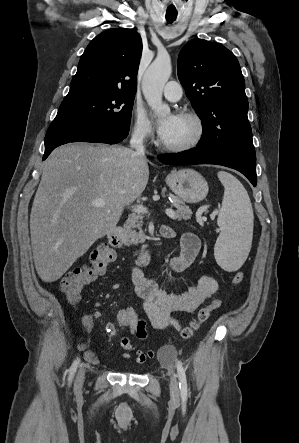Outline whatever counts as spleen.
<instances>
[{"label":"spleen","instance_id":"spleen-1","mask_svg":"<svg viewBox=\"0 0 299 443\" xmlns=\"http://www.w3.org/2000/svg\"><path fill=\"white\" fill-rule=\"evenodd\" d=\"M218 178L224 186L222 207L217 223L220 235L214 256L225 271L238 270L245 262L252 243L253 210L247 191L233 175L220 171Z\"/></svg>","mask_w":299,"mask_h":443}]
</instances>
